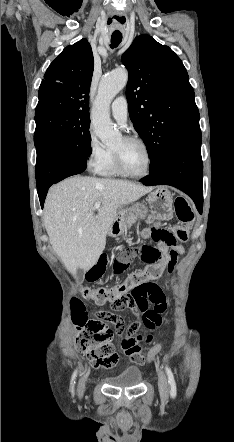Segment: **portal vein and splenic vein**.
<instances>
[{"mask_svg":"<svg viewBox=\"0 0 234 442\" xmlns=\"http://www.w3.org/2000/svg\"><path fill=\"white\" fill-rule=\"evenodd\" d=\"M100 206H101V202H96V203L94 204V209H99Z\"/></svg>","mask_w":234,"mask_h":442,"instance_id":"obj_1","label":"portal vein and splenic vein"}]
</instances>
